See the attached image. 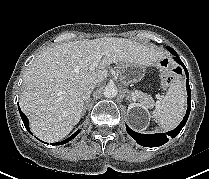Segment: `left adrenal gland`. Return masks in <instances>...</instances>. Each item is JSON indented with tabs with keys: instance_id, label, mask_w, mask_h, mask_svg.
<instances>
[{
	"instance_id": "1",
	"label": "left adrenal gland",
	"mask_w": 209,
	"mask_h": 179,
	"mask_svg": "<svg viewBox=\"0 0 209 179\" xmlns=\"http://www.w3.org/2000/svg\"><path fill=\"white\" fill-rule=\"evenodd\" d=\"M126 99L129 100V101L132 100L130 94L127 95Z\"/></svg>"
}]
</instances>
